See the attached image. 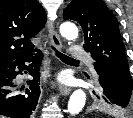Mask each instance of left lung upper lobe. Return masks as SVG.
<instances>
[{"instance_id":"1","label":"left lung upper lobe","mask_w":133,"mask_h":118,"mask_svg":"<svg viewBox=\"0 0 133 118\" xmlns=\"http://www.w3.org/2000/svg\"><path fill=\"white\" fill-rule=\"evenodd\" d=\"M63 16L65 20L72 19L82 26L84 49L90 52L95 63L133 87L118 22L106 4L102 0H73Z\"/></svg>"}]
</instances>
